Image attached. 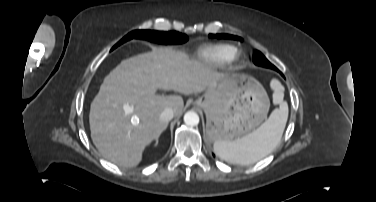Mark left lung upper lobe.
<instances>
[{"label": "left lung upper lobe", "mask_w": 376, "mask_h": 202, "mask_svg": "<svg viewBox=\"0 0 376 202\" xmlns=\"http://www.w3.org/2000/svg\"><path fill=\"white\" fill-rule=\"evenodd\" d=\"M209 37L217 38V39H231V40H239V41L242 40L241 37L229 35V34H216V35L209 34ZM253 62L258 66L271 68V69L278 71V69L273 64H271L261 52L257 50L254 51Z\"/></svg>", "instance_id": "1"}]
</instances>
